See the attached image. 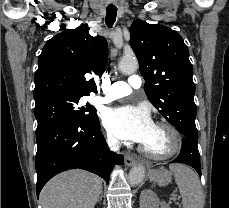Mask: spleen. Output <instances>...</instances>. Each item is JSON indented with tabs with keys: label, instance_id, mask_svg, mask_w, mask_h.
Listing matches in <instances>:
<instances>
[{
	"label": "spleen",
	"instance_id": "obj_1",
	"mask_svg": "<svg viewBox=\"0 0 229 208\" xmlns=\"http://www.w3.org/2000/svg\"><path fill=\"white\" fill-rule=\"evenodd\" d=\"M169 168L180 190L183 208H203L204 196L197 174L184 164H170Z\"/></svg>",
	"mask_w": 229,
	"mask_h": 208
}]
</instances>
